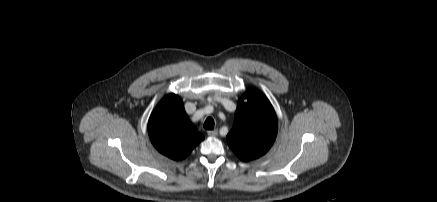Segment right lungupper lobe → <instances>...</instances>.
Here are the masks:
<instances>
[{
  "instance_id": "cb5924a9",
  "label": "right lung upper lobe",
  "mask_w": 437,
  "mask_h": 202,
  "mask_svg": "<svg viewBox=\"0 0 437 202\" xmlns=\"http://www.w3.org/2000/svg\"><path fill=\"white\" fill-rule=\"evenodd\" d=\"M148 133L154 147L173 160H182L204 139L189 120L181 98L164 97L148 121Z\"/></svg>"
}]
</instances>
